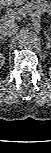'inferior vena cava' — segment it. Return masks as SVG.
<instances>
[{
    "mask_svg": "<svg viewBox=\"0 0 51 153\" xmlns=\"http://www.w3.org/2000/svg\"><path fill=\"white\" fill-rule=\"evenodd\" d=\"M18 25L13 21H4L0 25L1 36H13L18 31Z\"/></svg>",
    "mask_w": 51,
    "mask_h": 153,
    "instance_id": "obj_1",
    "label": "inferior vena cava"
}]
</instances>
